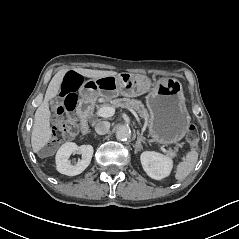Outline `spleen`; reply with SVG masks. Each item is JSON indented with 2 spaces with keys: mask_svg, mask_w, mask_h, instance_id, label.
Here are the masks:
<instances>
[{
  "mask_svg": "<svg viewBox=\"0 0 239 239\" xmlns=\"http://www.w3.org/2000/svg\"><path fill=\"white\" fill-rule=\"evenodd\" d=\"M198 160L197 151H190L183 156L182 161L175 167V179L183 180L185 179L191 171L194 169Z\"/></svg>",
  "mask_w": 239,
  "mask_h": 239,
  "instance_id": "1",
  "label": "spleen"
}]
</instances>
